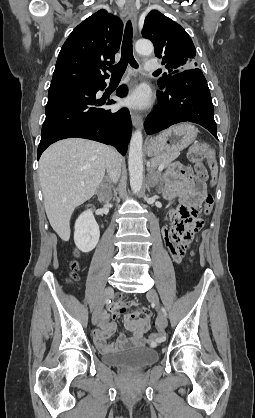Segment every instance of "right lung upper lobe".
Returning a JSON list of instances; mask_svg holds the SVG:
<instances>
[{
  "label": "right lung upper lobe",
  "instance_id": "cb5924a9",
  "mask_svg": "<svg viewBox=\"0 0 255 418\" xmlns=\"http://www.w3.org/2000/svg\"><path fill=\"white\" fill-rule=\"evenodd\" d=\"M122 21L102 9L80 23L63 44L50 87L103 81L105 64L114 62L122 38ZM104 71V75L101 71Z\"/></svg>",
  "mask_w": 255,
  "mask_h": 418
}]
</instances>
